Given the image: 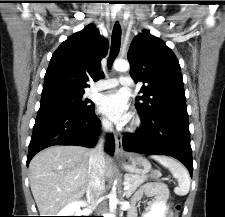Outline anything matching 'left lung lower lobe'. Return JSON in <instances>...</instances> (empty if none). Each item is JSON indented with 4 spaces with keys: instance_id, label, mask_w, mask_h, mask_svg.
Wrapping results in <instances>:
<instances>
[{
    "instance_id": "1",
    "label": "left lung lower lobe",
    "mask_w": 225,
    "mask_h": 217,
    "mask_svg": "<svg viewBox=\"0 0 225 217\" xmlns=\"http://www.w3.org/2000/svg\"><path fill=\"white\" fill-rule=\"evenodd\" d=\"M142 126L124 135L123 149L137 153L162 154L181 161L192 176L193 159L187 109L163 110L141 115Z\"/></svg>"
}]
</instances>
